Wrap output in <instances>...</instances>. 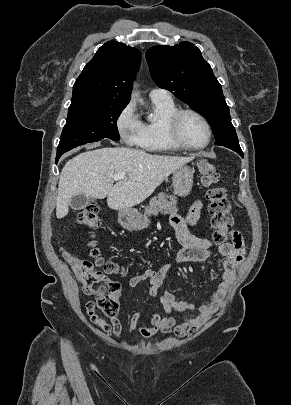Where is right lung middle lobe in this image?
<instances>
[{
	"label": "right lung middle lobe",
	"mask_w": 291,
	"mask_h": 405,
	"mask_svg": "<svg viewBox=\"0 0 291 405\" xmlns=\"http://www.w3.org/2000/svg\"><path fill=\"white\" fill-rule=\"evenodd\" d=\"M126 104L95 102L70 105L57 148L56 162L65 152L90 142L120 138L117 119Z\"/></svg>",
	"instance_id": "1"
}]
</instances>
